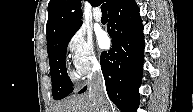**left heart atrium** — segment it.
I'll use <instances>...</instances> for the list:
<instances>
[{"instance_id": "left-heart-atrium-1", "label": "left heart atrium", "mask_w": 193, "mask_h": 112, "mask_svg": "<svg viewBox=\"0 0 193 112\" xmlns=\"http://www.w3.org/2000/svg\"><path fill=\"white\" fill-rule=\"evenodd\" d=\"M98 45L101 49H105L109 45V38L104 32L98 35Z\"/></svg>"}]
</instances>
